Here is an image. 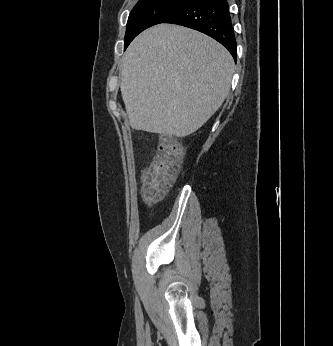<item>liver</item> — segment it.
I'll use <instances>...</instances> for the list:
<instances>
[{
	"mask_svg": "<svg viewBox=\"0 0 333 346\" xmlns=\"http://www.w3.org/2000/svg\"><path fill=\"white\" fill-rule=\"evenodd\" d=\"M231 54L198 31L160 24L129 45L121 68V94L130 126L185 137L197 131L229 94Z\"/></svg>",
	"mask_w": 333,
	"mask_h": 346,
	"instance_id": "liver-1",
	"label": "liver"
}]
</instances>
